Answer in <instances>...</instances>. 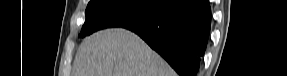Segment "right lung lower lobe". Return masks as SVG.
Returning a JSON list of instances; mask_svg holds the SVG:
<instances>
[{
	"label": "right lung lower lobe",
	"mask_w": 287,
	"mask_h": 76,
	"mask_svg": "<svg viewBox=\"0 0 287 76\" xmlns=\"http://www.w3.org/2000/svg\"><path fill=\"white\" fill-rule=\"evenodd\" d=\"M210 25L209 0H167L152 18L127 29L138 34L180 76H196Z\"/></svg>",
	"instance_id": "right-lung-lower-lobe-1"
}]
</instances>
